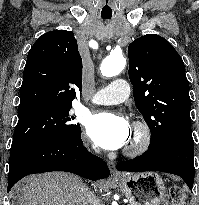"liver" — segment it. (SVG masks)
Instances as JSON below:
<instances>
[{"label":"liver","instance_id":"1","mask_svg":"<svg viewBox=\"0 0 199 205\" xmlns=\"http://www.w3.org/2000/svg\"><path fill=\"white\" fill-rule=\"evenodd\" d=\"M22 195H15L19 205H87L86 185L79 177L65 172L28 176Z\"/></svg>","mask_w":199,"mask_h":205}]
</instances>
